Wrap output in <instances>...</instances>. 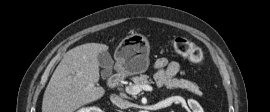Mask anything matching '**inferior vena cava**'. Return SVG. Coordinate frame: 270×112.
Returning <instances> with one entry per match:
<instances>
[{
  "label": "inferior vena cava",
  "mask_w": 270,
  "mask_h": 112,
  "mask_svg": "<svg viewBox=\"0 0 270 112\" xmlns=\"http://www.w3.org/2000/svg\"><path fill=\"white\" fill-rule=\"evenodd\" d=\"M111 101L120 108H126L129 105V102L127 100H124L115 94L111 96Z\"/></svg>",
  "instance_id": "inferior-vena-cava-1"
}]
</instances>
